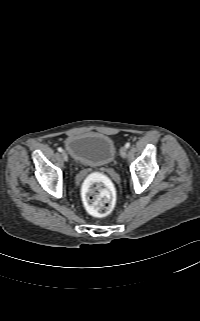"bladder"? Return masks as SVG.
I'll return each mask as SVG.
<instances>
[{"mask_svg": "<svg viewBox=\"0 0 200 321\" xmlns=\"http://www.w3.org/2000/svg\"><path fill=\"white\" fill-rule=\"evenodd\" d=\"M65 148L72 159L85 166H103L114 160L116 147L107 135L97 132L69 136Z\"/></svg>", "mask_w": 200, "mask_h": 321, "instance_id": "31cf9c89", "label": "bladder"}]
</instances>
